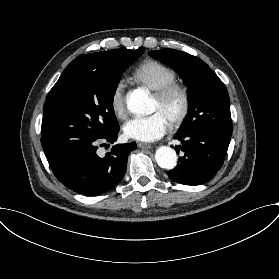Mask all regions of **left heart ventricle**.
<instances>
[{
    "instance_id": "b2bd125f",
    "label": "left heart ventricle",
    "mask_w": 279,
    "mask_h": 279,
    "mask_svg": "<svg viewBox=\"0 0 279 279\" xmlns=\"http://www.w3.org/2000/svg\"><path fill=\"white\" fill-rule=\"evenodd\" d=\"M179 108L180 102L176 98H173L166 102H160L157 100L156 97H154L152 111H161L168 122H170L171 119L177 114Z\"/></svg>"
}]
</instances>
